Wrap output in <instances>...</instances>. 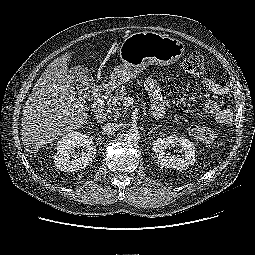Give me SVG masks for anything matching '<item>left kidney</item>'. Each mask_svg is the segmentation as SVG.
<instances>
[{"label":"left kidney","mask_w":255,"mask_h":255,"mask_svg":"<svg viewBox=\"0 0 255 255\" xmlns=\"http://www.w3.org/2000/svg\"><path fill=\"white\" fill-rule=\"evenodd\" d=\"M153 151L155 152L161 166L176 170H186L195 162V147L193 143L186 138H178L175 135H170L166 138H158L152 143ZM179 146L181 147L182 157L175 156L166 152L167 148Z\"/></svg>","instance_id":"left-kidney-1"}]
</instances>
